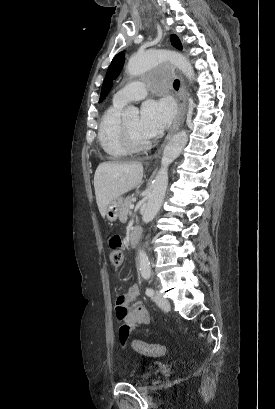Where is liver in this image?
I'll use <instances>...</instances> for the list:
<instances>
[{
    "label": "liver",
    "mask_w": 275,
    "mask_h": 409,
    "mask_svg": "<svg viewBox=\"0 0 275 409\" xmlns=\"http://www.w3.org/2000/svg\"><path fill=\"white\" fill-rule=\"evenodd\" d=\"M142 176V162H135V164L101 162L97 166L94 174V188L98 209L103 219L109 202L138 186Z\"/></svg>",
    "instance_id": "1"
}]
</instances>
